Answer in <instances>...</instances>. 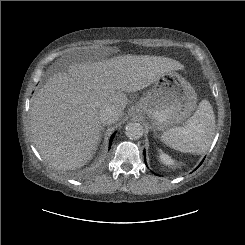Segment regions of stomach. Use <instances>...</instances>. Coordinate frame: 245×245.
Returning <instances> with one entry per match:
<instances>
[{
    "instance_id": "stomach-1",
    "label": "stomach",
    "mask_w": 245,
    "mask_h": 245,
    "mask_svg": "<svg viewBox=\"0 0 245 245\" xmlns=\"http://www.w3.org/2000/svg\"><path fill=\"white\" fill-rule=\"evenodd\" d=\"M197 94L176 71L160 75L136 106L147 115L154 131H166L183 123L194 111Z\"/></svg>"
}]
</instances>
